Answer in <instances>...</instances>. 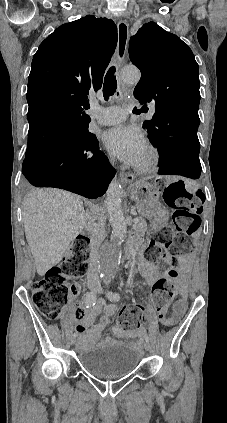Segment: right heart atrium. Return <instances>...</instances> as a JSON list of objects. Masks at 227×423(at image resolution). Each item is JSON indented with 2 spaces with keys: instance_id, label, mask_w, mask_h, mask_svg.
<instances>
[{
  "instance_id": "obj_1",
  "label": "right heart atrium",
  "mask_w": 227,
  "mask_h": 423,
  "mask_svg": "<svg viewBox=\"0 0 227 423\" xmlns=\"http://www.w3.org/2000/svg\"><path fill=\"white\" fill-rule=\"evenodd\" d=\"M108 162L113 165L114 164V159L112 157H108Z\"/></svg>"
}]
</instances>
